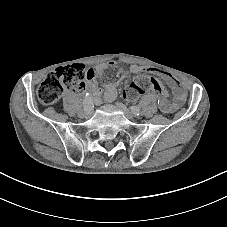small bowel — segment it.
<instances>
[{
	"instance_id": "small-bowel-1",
	"label": "small bowel",
	"mask_w": 227,
	"mask_h": 227,
	"mask_svg": "<svg viewBox=\"0 0 227 227\" xmlns=\"http://www.w3.org/2000/svg\"><path fill=\"white\" fill-rule=\"evenodd\" d=\"M114 62L103 63L100 65L89 68L86 72L87 87L90 93H88L95 103H109L115 100L117 96V89L120 84L118 82H106V70L109 66L114 65ZM150 71L155 75L162 78L172 89L174 99L173 101H167L165 103L158 101L160 109L164 113H172L177 110L185 100L186 92L179 81L169 72L159 70L156 68L147 69L138 65H131L127 71H123L122 79L129 74H137L140 72ZM98 84H102L104 90L98 87Z\"/></svg>"
}]
</instances>
